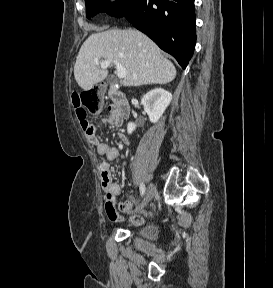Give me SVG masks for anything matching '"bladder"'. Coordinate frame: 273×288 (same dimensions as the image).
<instances>
[{
    "instance_id": "1",
    "label": "bladder",
    "mask_w": 273,
    "mask_h": 288,
    "mask_svg": "<svg viewBox=\"0 0 273 288\" xmlns=\"http://www.w3.org/2000/svg\"><path fill=\"white\" fill-rule=\"evenodd\" d=\"M157 229L153 225H145L139 228L135 234L134 237L137 240L143 241V242H153L157 238Z\"/></svg>"
}]
</instances>
